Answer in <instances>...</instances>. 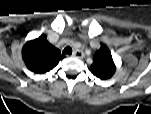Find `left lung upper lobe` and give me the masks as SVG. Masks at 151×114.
<instances>
[{
  "instance_id": "obj_1",
  "label": "left lung upper lobe",
  "mask_w": 151,
  "mask_h": 114,
  "mask_svg": "<svg viewBox=\"0 0 151 114\" xmlns=\"http://www.w3.org/2000/svg\"><path fill=\"white\" fill-rule=\"evenodd\" d=\"M91 70L95 76L102 80L110 79L114 75L116 66L109 49L105 45L94 54Z\"/></svg>"
}]
</instances>
